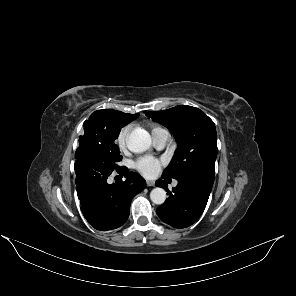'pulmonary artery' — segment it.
Listing matches in <instances>:
<instances>
[{"mask_svg": "<svg viewBox=\"0 0 296 296\" xmlns=\"http://www.w3.org/2000/svg\"><path fill=\"white\" fill-rule=\"evenodd\" d=\"M152 138L154 146L158 149H162L169 140V134L166 130H162L159 133L153 135ZM174 185H177V182H175Z\"/></svg>", "mask_w": 296, "mask_h": 296, "instance_id": "obj_1", "label": "pulmonary artery"}]
</instances>
